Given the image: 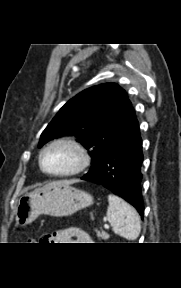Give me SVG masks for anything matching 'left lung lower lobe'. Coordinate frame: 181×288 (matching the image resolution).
Here are the masks:
<instances>
[{
    "label": "left lung lower lobe",
    "instance_id": "left-lung-lower-lobe-1",
    "mask_svg": "<svg viewBox=\"0 0 181 288\" xmlns=\"http://www.w3.org/2000/svg\"><path fill=\"white\" fill-rule=\"evenodd\" d=\"M142 139L133 108L118 140L107 151L95 170L81 179L109 189L133 205L143 218L141 193Z\"/></svg>",
    "mask_w": 181,
    "mask_h": 288
}]
</instances>
